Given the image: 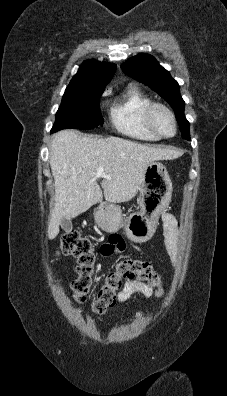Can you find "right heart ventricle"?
<instances>
[{
	"instance_id": "right-heart-ventricle-1",
	"label": "right heart ventricle",
	"mask_w": 227,
	"mask_h": 396,
	"mask_svg": "<svg viewBox=\"0 0 227 396\" xmlns=\"http://www.w3.org/2000/svg\"><path fill=\"white\" fill-rule=\"evenodd\" d=\"M152 100L134 85H129L109 109L113 127L121 134L144 141L160 139L146 124L145 113Z\"/></svg>"
}]
</instances>
